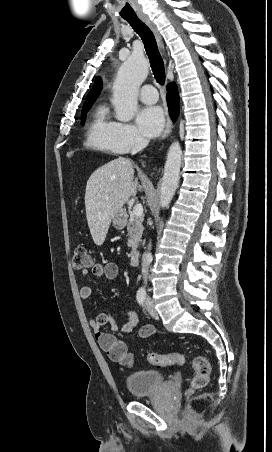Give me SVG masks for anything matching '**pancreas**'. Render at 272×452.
<instances>
[{
	"mask_svg": "<svg viewBox=\"0 0 272 452\" xmlns=\"http://www.w3.org/2000/svg\"><path fill=\"white\" fill-rule=\"evenodd\" d=\"M144 218L142 216H135L130 214V218L127 222V231H128V242L127 245L132 249H136L141 241L142 233H143V222Z\"/></svg>",
	"mask_w": 272,
	"mask_h": 452,
	"instance_id": "obj_1",
	"label": "pancreas"
}]
</instances>
